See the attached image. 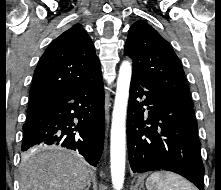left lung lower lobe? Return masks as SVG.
Here are the masks:
<instances>
[{
	"label": "left lung lower lobe",
	"mask_w": 221,
	"mask_h": 190,
	"mask_svg": "<svg viewBox=\"0 0 221 190\" xmlns=\"http://www.w3.org/2000/svg\"><path fill=\"white\" fill-rule=\"evenodd\" d=\"M197 126L193 107L180 103L157 84L132 73L127 140L134 173L172 171L204 190Z\"/></svg>",
	"instance_id": "left-lung-lower-lobe-1"
}]
</instances>
